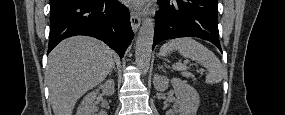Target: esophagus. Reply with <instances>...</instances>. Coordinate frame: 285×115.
I'll list each match as a JSON object with an SVG mask.
<instances>
[{"mask_svg":"<svg viewBox=\"0 0 285 115\" xmlns=\"http://www.w3.org/2000/svg\"><path fill=\"white\" fill-rule=\"evenodd\" d=\"M130 21H131L132 29L136 33L138 31V28L140 27L141 18L138 14L131 12Z\"/></svg>","mask_w":285,"mask_h":115,"instance_id":"obj_1","label":"esophagus"}]
</instances>
